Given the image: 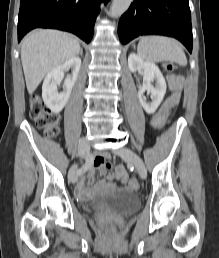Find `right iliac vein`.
I'll list each match as a JSON object with an SVG mask.
<instances>
[{
	"mask_svg": "<svg viewBox=\"0 0 219 258\" xmlns=\"http://www.w3.org/2000/svg\"><path fill=\"white\" fill-rule=\"evenodd\" d=\"M90 147L86 138H81L78 143V155L80 157H85L89 153ZM77 166L73 165L68 172V179L71 183L77 181Z\"/></svg>",
	"mask_w": 219,
	"mask_h": 258,
	"instance_id": "obj_1",
	"label": "right iliac vein"
}]
</instances>
